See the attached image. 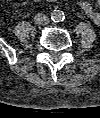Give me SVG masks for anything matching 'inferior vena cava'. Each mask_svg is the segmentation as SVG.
<instances>
[{"mask_svg": "<svg viewBox=\"0 0 100 118\" xmlns=\"http://www.w3.org/2000/svg\"><path fill=\"white\" fill-rule=\"evenodd\" d=\"M34 22L37 25H46V24L49 23V17L47 15H45V14L38 13L34 17Z\"/></svg>", "mask_w": 100, "mask_h": 118, "instance_id": "inferior-vena-cava-1", "label": "inferior vena cava"}]
</instances>
